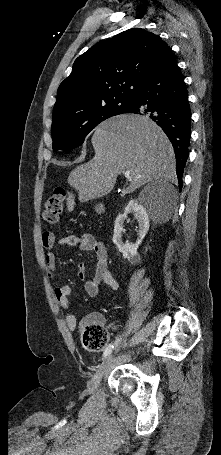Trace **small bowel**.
Wrapping results in <instances>:
<instances>
[{
  "label": "small bowel",
  "mask_w": 221,
  "mask_h": 455,
  "mask_svg": "<svg viewBox=\"0 0 221 455\" xmlns=\"http://www.w3.org/2000/svg\"><path fill=\"white\" fill-rule=\"evenodd\" d=\"M42 244L46 249L45 267L49 277H53L57 272V258L55 254L56 245L78 246L82 251H93L96 257V265L93 274L87 278L83 264L78 265V275L84 282V288L88 295L96 296L100 286L106 284L113 291L119 289L118 281L113 277L108 269L107 249L105 245L89 233L80 235H67L57 239L51 231H46L42 235ZM69 285L58 286L54 289L56 300L60 308L65 312V322L71 331H75L84 326L89 320L101 321L99 315L87 316L78 324L75 315L70 310L69 296L71 294Z\"/></svg>",
  "instance_id": "c3829d8e"
}]
</instances>
